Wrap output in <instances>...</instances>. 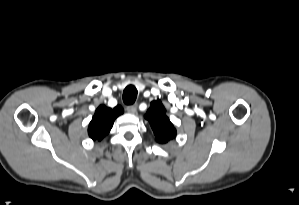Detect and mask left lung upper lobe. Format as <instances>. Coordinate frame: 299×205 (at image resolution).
<instances>
[{
    "label": "left lung upper lobe",
    "instance_id": "5c2ea615",
    "mask_svg": "<svg viewBox=\"0 0 299 205\" xmlns=\"http://www.w3.org/2000/svg\"><path fill=\"white\" fill-rule=\"evenodd\" d=\"M145 118L149 121L158 143L164 144L175 138L176 129L166 116V110L160 100L151 102Z\"/></svg>",
    "mask_w": 299,
    "mask_h": 205
}]
</instances>
